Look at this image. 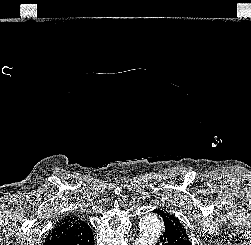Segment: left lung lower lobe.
Returning <instances> with one entry per match:
<instances>
[{"instance_id": "1", "label": "left lung lower lobe", "mask_w": 251, "mask_h": 245, "mask_svg": "<svg viewBox=\"0 0 251 245\" xmlns=\"http://www.w3.org/2000/svg\"><path fill=\"white\" fill-rule=\"evenodd\" d=\"M154 213H157L161 218L163 216L159 209L154 210ZM160 242L162 245H191V243L183 239L173 227L164 228Z\"/></svg>"}]
</instances>
